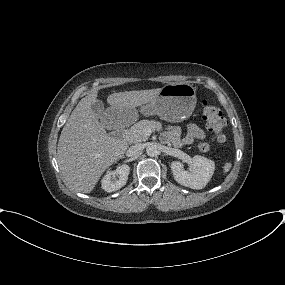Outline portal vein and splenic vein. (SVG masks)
I'll return each instance as SVG.
<instances>
[{
  "mask_svg": "<svg viewBox=\"0 0 285 285\" xmlns=\"http://www.w3.org/2000/svg\"><path fill=\"white\" fill-rule=\"evenodd\" d=\"M144 132H145V134H146L147 136H150L151 133H152V130H151L150 128H146V129L144 130Z\"/></svg>",
  "mask_w": 285,
  "mask_h": 285,
  "instance_id": "obj_1",
  "label": "portal vein and splenic vein"
}]
</instances>
